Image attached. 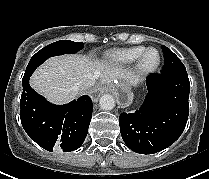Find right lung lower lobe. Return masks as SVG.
<instances>
[{
    "instance_id": "1",
    "label": "right lung lower lobe",
    "mask_w": 209,
    "mask_h": 179,
    "mask_svg": "<svg viewBox=\"0 0 209 179\" xmlns=\"http://www.w3.org/2000/svg\"><path fill=\"white\" fill-rule=\"evenodd\" d=\"M30 77V76H29ZM22 80L20 119L28 136L42 148L63 152L78 149L84 142L92 117L93 104L84 95L66 105H53Z\"/></svg>"
}]
</instances>
